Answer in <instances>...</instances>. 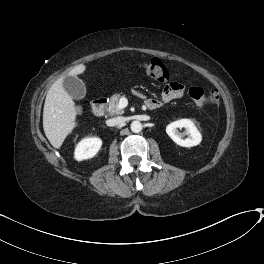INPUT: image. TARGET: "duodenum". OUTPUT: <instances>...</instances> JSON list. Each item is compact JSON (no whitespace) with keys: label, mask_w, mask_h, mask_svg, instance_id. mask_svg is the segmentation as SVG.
I'll return each mask as SVG.
<instances>
[{"label":"duodenum","mask_w":264,"mask_h":264,"mask_svg":"<svg viewBox=\"0 0 264 264\" xmlns=\"http://www.w3.org/2000/svg\"><path fill=\"white\" fill-rule=\"evenodd\" d=\"M106 109V99L99 97L92 101V111L95 116L102 117Z\"/></svg>","instance_id":"1"}]
</instances>
